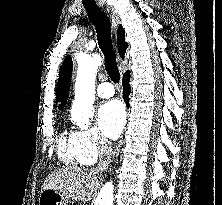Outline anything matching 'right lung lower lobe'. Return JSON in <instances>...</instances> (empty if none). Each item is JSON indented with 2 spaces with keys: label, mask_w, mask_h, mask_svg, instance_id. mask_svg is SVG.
Instances as JSON below:
<instances>
[{
  "label": "right lung lower lobe",
  "mask_w": 222,
  "mask_h": 205,
  "mask_svg": "<svg viewBox=\"0 0 222 205\" xmlns=\"http://www.w3.org/2000/svg\"><path fill=\"white\" fill-rule=\"evenodd\" d=\"M130 73L129 72H126L125 74H124V77H123V98H124V101H125V103H126V105H127V107H129V99H128V97H129V94H130V92H131V88H130V84H129V82H130Z\"/></svg>",
  "instance_id": "obj_1"
}]
</instances>
